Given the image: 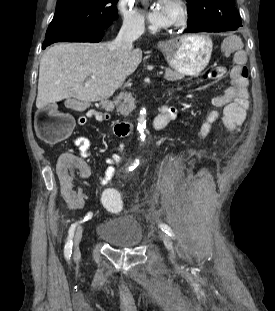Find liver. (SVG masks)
Returning a JSON list of instances; mask_svg holds the SVG:
<instances>
[{
	"mask_svg": "<svg viewBox=\"0 0 275 311\" xmlns=\"http://www.w3.org/2000/svg\"><path fill=\"white\" fill-rule=\"evenodd\" d=\"M110 44L60 43L49 48L40 61L37 108L69 97L91 103L112 96L137 69L142 51L136 48L120 56Z\"/></svg>",
	"mask_w": 275,
	"mask_h": 311,
	"instance_id": "6515ba94",
	"label": "liver"
}]
</instances>
